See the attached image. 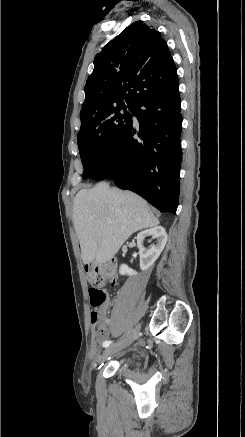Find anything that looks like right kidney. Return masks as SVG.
Wrapping results in <instances>:
<instances>
[{"instance_id": "ca27d5eb", "label": "right kidney", "mask_w": 245, "mask_h": 437, "mask_svg": "<svg viewBox=\"0 0 245 437\" xmlns=\"http://www.w3.org/2000/svg\"><path fill=\"white\" fill-rule=\"evenodd\" d=\"M152 236L155 238L156 244L151 245L149 248L143 247V242L145 237ZM137 246L139 248L140 256V268L141 270H147L153 263L158 259L161 252L163 251L167 242V233L165 229L161 226H155L153 228L141 231L137 237ZM119 273L121 275H136L137 272L129 268L126 264H122L119 268Z\"/></svg>"}]
</instances>
